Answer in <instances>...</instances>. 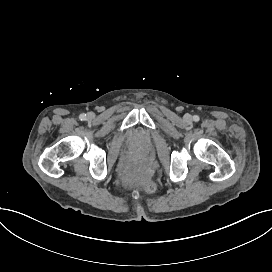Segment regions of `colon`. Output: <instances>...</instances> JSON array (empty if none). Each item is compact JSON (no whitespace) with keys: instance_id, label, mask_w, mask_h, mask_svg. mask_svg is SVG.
<instances>
[{"instance_id":"obj_1","label":"colon","mask_w":272,"mask_h":272,"mask_svg":"<svg viewBox=\"0 0 272 272\" xmlns=\"http://www.w3.org/2000/svg\"><path fill=\"white\" fill-rule=\"evenodd\" d=\"M141 164H142V161L139 158L134 157L131 160L129 168L133 171H137L141 167ZM148 188H149V191H154L156 189L154 185H149Z\"/></svg>"}]
</instances>
